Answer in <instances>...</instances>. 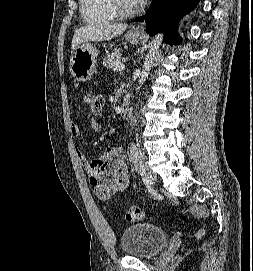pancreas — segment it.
Masks as SVG:
<instances>
[{
    "instance_id": "obj_1",
    "label": "pancreas",
    "mask_w": 253,
    "mask_h": 271,
    "mask_svg": "<svg viewBox=\"0 0 253 271\" xmlns=\"http://www.w3.org/2000/svg\"><path fill=\"white\" fill-rule=\"evenodd\" d=\"M117 64H121V54L119 49H115L103 59V65L109 69H114Z\"/></svg>"
}]
</instances>
